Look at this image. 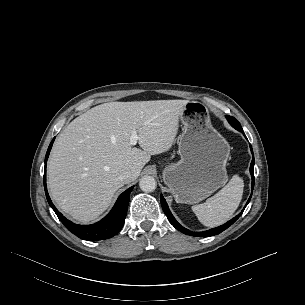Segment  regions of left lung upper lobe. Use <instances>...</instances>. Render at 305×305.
Returning <instances> with one entry per match:
<instances>
[{"instance_id":"obj_1","label":"left lung upper lobe","mask_w":305,"mask_h":305,"mask_svg":"<svg viewBox=\"0 0 305 305\" xmlns=\"http://www.w3.org/2000/svg\"><path fill=\"white\" fill-rule=\"evenodd\" d=\"M227 120L229 121V123L237 130L241 131L242 127L240 125V123L232 116H227Z\"/></svg>"}]
</instances>
